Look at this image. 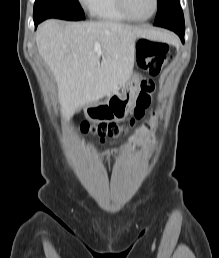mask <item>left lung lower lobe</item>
<instances>
[{
    "mask_svg": "<svg viewBox=\"0 0 219 258\" xmlns=\"http://www.w3.org/2000/svg\"><path fill=\"white\" fill-rule=\"evenodd\" d=\"M154 25L174 31L176 34L179 35L181 41L184 43V20H166L163 22L154 23Z\"/></svg>",
    "mask_w": 219,
    "mask_h": 258,
    "instance_id": "1",
    "label": "left lung lower lobe"
}]
</instances>
